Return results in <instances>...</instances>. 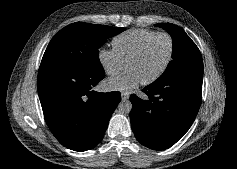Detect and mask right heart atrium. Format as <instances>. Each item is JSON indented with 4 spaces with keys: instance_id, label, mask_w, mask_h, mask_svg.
<instances>
[{
    "instance_id": "1",
    "label": "right heart atrium",
    "mask_w": 237,
    "mask_h": 169,
    "mask_svg": "<svg viewBox=\"0 0 237 169\" xmlns=\"http://www.w3.org/2000/svg\"><path fill=\"white\" fill-rule=\"evenodd\" d=\"M97 57L100 65L108 75L117 74L125 66V62L113 48L101 47L97 52Z\"/></svg>"
}]
</instances>
